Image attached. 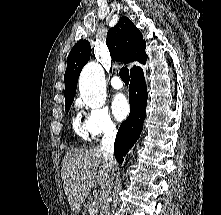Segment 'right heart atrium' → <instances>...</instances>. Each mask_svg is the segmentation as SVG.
I'll return each instance as SVG.
<instances>
[{
  "instance_id": "obj_1",
  "label": "right heart atrium",
  "mask_w": 221,
  "mask_h": 215,
  "mask_svg": "<svg viewBox=\"0 0 221 215\" xmlns=\"http://www.w3.org/2000/svg\"><path fill=\"white\" fill-rule=\"evenodd\" d=\"M78 107L83 109L84 104L79 101ZM84 128L88 136L97 139L115 134L117 124L107 108L103 106H87Z\"/></svg>"
}]
</instances>
